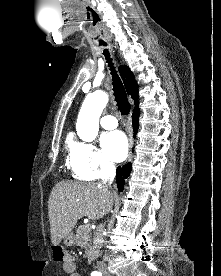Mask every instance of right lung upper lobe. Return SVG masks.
Segmentation results:
<instances>
[{"mask_svg": "<svg viewBox=\"0 0 221 276\" xmlns=\"http://www.w3.org/2000/svg\"><path fill=\"white\" fill-rule=\"evenodd\" d=\"M121 78L124 82L128 95L135 100V105L138 107V85L135 81L133 73L130 71L129 67L124 65L118 68Z\"/></svg>", "mask_w": 221, "mask_h": 276, "instance_id": "right-lung-upper-lobe-1", "label": "right lung upper lobe"}]
</instances>
